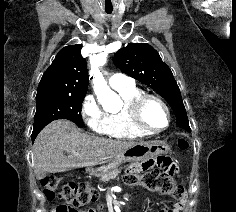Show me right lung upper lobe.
Instances as JSON below:
<instances>
[{
  "mask_svg": "<svg viewBox=\"0 0 236 212\" xmlns=\"http://www.w3.org/2000/svg\"><path fill=\"white\" fill-rule=\"evenodd\" d=\"M82 46L69 45L61 49L44 72L36 98L50 95H86L88 74Z\"/></svg>",
  "mask_w": 236,
  "mask_h": 212,
  "instance_id": "cb5924a9",
  "label": "right lung upper lobe"
}]
</instances>
